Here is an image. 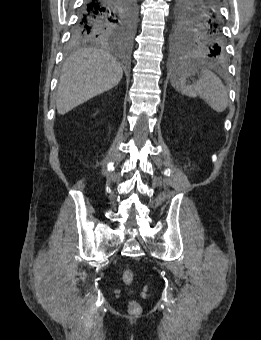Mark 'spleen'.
I'll use <instances>...</instances> for the list:
<instances>
[{
	"instance_id": "obj_1",
	"label": "spleen",
	"mask_w": 261,
	"mask_h": 340,
	"mask_svg": "<svg viewBox=\"0 0 261 340\" xmlns=\"http://www.w3.org/2000/svg\"><path fill=\"white\" fill-rule=\"evenodd\" d=\"M189 61H183L186 64ZM197 70V65H192ZM189 73L185 72L180 78L172 77V84L184 95L195 98L201 97L214 111L222 113L228 106L229 97L226 88L219 77L207 68L201 70V76L194 85H186Z\"/></svg>"
}]
</instances>
